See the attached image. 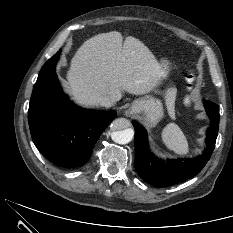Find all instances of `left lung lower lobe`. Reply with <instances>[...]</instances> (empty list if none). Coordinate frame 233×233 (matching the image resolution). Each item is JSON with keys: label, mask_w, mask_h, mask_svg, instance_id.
<instances>
[{"label": "left lung lower lobe", "mask_w": 233, "mask_h": 233, "mask_svg": "<svg viewBox=\"0 0 233 233\" xmlns=\"http://www.w3.org/2000/svg\"><path fill=\"white\" fill-rule=\"evenodd\" d=\"M204 106L211 125L207 130L206 149L203 155L196 159H158L147 145L145 129L132 121L135 128V169L144 181L157 187L171 186L195 176L203 169L215 148L219 127L218 105L206 100Z\"/></svg>", "instance_id": "1"}]
</instances>
